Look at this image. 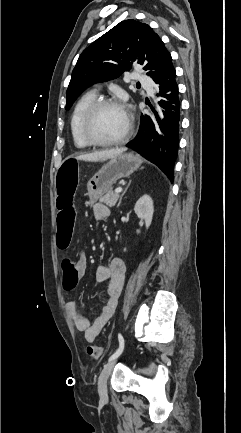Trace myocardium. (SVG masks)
I'll list each match as a JSON object with an SVG mask.
<instances>
[{
    "label": "myocardium",
    "instance_id": "1",
    "mask_svg": "<svg viewBox=\"0 0 241 433\" xmlns=\"http://www.w3.org/2000/svg\"><path fill=\"white\" fill-rule=\"evenodd\" d=\"M108 106H119L121 108H123L127 114V127L124 131V133L113 140H102L97 138L93 131H92V125L93 122L97 116V114L99 113V111L105 107ZM132 120L131 117L129 115V113L127 112V110L125 109V107L123 106V104L121 102H119L116 99H111V98H103V99H98L96 100L87 110V112L84 115L83 121H82V132L83 135L85 137V139L91 144V145H95V146H114V145H119L124 143L131 135L132 133Z\"/></svg>",
    "mask_w": 241,
    "mask_h": 433
}]
</instances>
